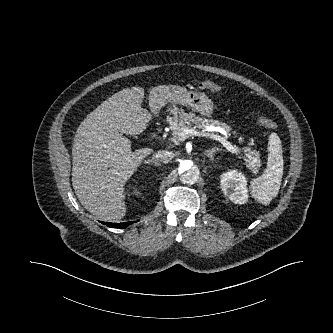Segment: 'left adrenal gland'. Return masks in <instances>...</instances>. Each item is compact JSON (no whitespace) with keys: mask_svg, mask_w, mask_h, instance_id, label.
<instances>
[{"mask_svg":"<svg viewBox=\"0 0 333 333\" xmlns=\"http://www.w3.org/2000/svg\"><path fill=\"white\" fill-rule=\"evenodd\" d=\"M221 149H219V148H213L211 151H208V153H207V156L209 157V159L211 160V161H213L214 160V155H215V153L217 152V151H220Z\"/></svg>","mask_w":333,"mask_h":333,"instance_id":"obj_1","label":"left adrenal gland"}]
</instances>
